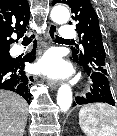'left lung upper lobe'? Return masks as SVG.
Returning <instances> with one entry per match:
<instances>
[{
    "label": "left lung upper lobe",
    "instance_id": "1",
    "mask_svg": "<svg viewBox=\"0 0 117 136\" xmlns=\"http://www.w3.org/2000/svg\"><path fill=\"white\" fill-rule=\"evenodd\" d=\"M56 3L67 4L73 12L72 18L78 22L76 31L82 36L81 46L72 48L73 59L84 66L94 67L95 70L108 76L105 69L106 53L104 50L98 16L89 0H53Z\"/></svg>",
    "mask_w": 117,
    "mask_h": 136
}]
</instances>
